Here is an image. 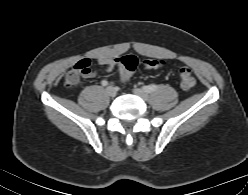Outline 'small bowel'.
Listing matches in <instances>:
<instances>
[{
  "mask_svg": "<svg viewBox=\"0 0 248 195\" xmlns=\"http://www.w3.org/2000/svg\"><path fill=\"white\" fill-rule=\"evenodd\" d=\"M96 64L105 67L106 69L110 70L113 68H117L119 72V78L121 82H126V76L125 71L121 65V58L119 57H110V58H98L96 59ZM96 75V71L94 70V67L92 64H90L89 71L84 74L85 77H93Z\"/></svg>",
  "mask_w": 248,
  "mask_h": 195,
  "instance_id": "small-bowel-1",
  "label": "small bowel"
}]
</instances>
